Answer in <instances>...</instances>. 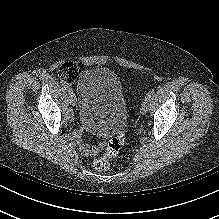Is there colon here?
Returning a JSON list of instances; mask_svg holds the SVG:
<instances>
[{
  "mask_svg": "<svg viewBox=\"0 0 219 219\" xmlns=\"http://www.w3.org/2000/svg\"><path fill=\"white\" fill-rule=\"evenodd\" d=\"M77 67L72 62L63 63L58 69L59 78L66 83H72L77 78ZM125 143V131L120 129L107 144L104 156L94 161V168L99 171L107 170L110 167V158L116 156Z\"/></svg>",
  "mask_w": 219,
  "mask_h": 219,
  "instance_id": "colon-1",
  "label": "colon"
}]
</instances>
